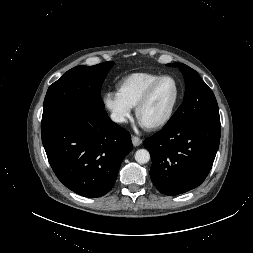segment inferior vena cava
Masks as SVG:
<instances>
[{"instance_id":"obj_1","label":"inferior vena cava","mask_w":253,"mask_h":253,"mask_svg":"<svg viewBox=\"0 0 253 253\" xmlns=\"http://www.w3.org/2000/svg\"><path fill=\"white\" fill-rule=\"evenodd\" d=\"M111 120L114 121V122H124L125 121V118L120 115V114H117V113H112L111 114Z\"/></svg>"}]
</instances>
